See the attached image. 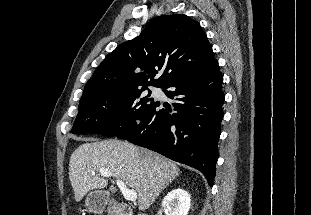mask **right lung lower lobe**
Returning <instances> with one entry per match:
<instances>
[{
    "label": "right lung lower lobe",
    "instance_id": "98d812e1",
    "mask_svg": "<svg viewBox=\"0 0 311 215\" xmlns=\"http://www.w3.org/2000/svg\"><path fill=\"white\" fill-rule=\"evenodd\" d=\"M223 76L218 61L181 76L163 88L173 109L155 108L132 129L117 135L200 170L211 186L223 119Z\"/></svg>",
    "mask_w": 311,
    "mask_h": 215
}]
</instances>
